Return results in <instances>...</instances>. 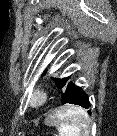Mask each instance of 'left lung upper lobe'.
<instances>
[{"instance_id":"1","label":"left lung upper lobe","mask_w":117,"mask_h":136,"mask_svg":"<svg viewBox=\"0 0 117 136\" xmlns=\"http://www.w3.org/2000/svg\"><path fill=\"white\" fill-rule=\"evenodd\" d=\"M46 71H47V69H45L43 74H45ZM70 77L71 76H65V77H62V78H53V77L52 78H53L54 81H56L57 87L59 89H63V88H65V86H66L67 82L69 81Z\"/></svg>"}]
</instances>
